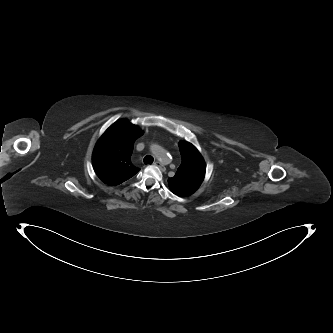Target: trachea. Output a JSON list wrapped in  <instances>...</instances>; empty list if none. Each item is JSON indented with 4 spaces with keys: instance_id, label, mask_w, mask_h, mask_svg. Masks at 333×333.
Here are the masks:
<instances>
[{
    "instance_id": "1",
    "label": "trachea",
    "mask_w": 333,
    "mask_h": 333,
    "mask_svg": "<svg viewBox=\"0 0 333 333\" xmlns=\"http://www.w3.org/2000/svg\"><path fill=\"white\" fill-rule=\"evenodd\" d=\"M153 161H154V158L150 155L145 156L143 159L144 164H152Z\"/></svg>"
}]
</instances>
